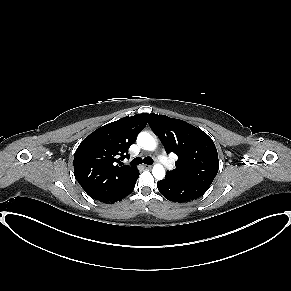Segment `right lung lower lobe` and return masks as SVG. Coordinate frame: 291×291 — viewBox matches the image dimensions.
Listing matches in <instances>:
<instances>
[{"label": "right lung lower lobe", "instance_id": "right-lung-lower-lobe-1", "mask_svg": "<svg viewBox=\"0 0 291 291\" xmlns=\"http://www.w3.org/2000/svg\"><path fill=\"white\" fill-rule=\"evenodd\" d=\"M138 176L139 171L137 170L134 176L128 182H126L118 191L99 201L103 203H114L117 201H121L123 198L128 196L134 190V186L138 179Z\"/></svg>", "mask_w": 291, "mask_h": 291}]
</instances>
